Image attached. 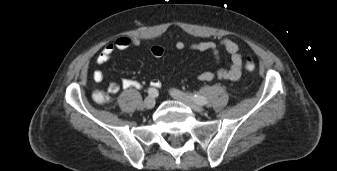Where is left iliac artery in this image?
<instances>
[{"instance_id": "1", "label": "left iliac artery", "mask_w": 337, "mask_h": 171, "mask_svg": "<svg viewBox=\"0 0 337 171\" xmlns=\"http://www.w3.org/2000/svg\"><path fill=\"white\" fill-rule=\"evenodd\" d=\"M191 98L199 105L207 104L206 98L198 94L191 95Z\"/></svg>"}]
</instances>
